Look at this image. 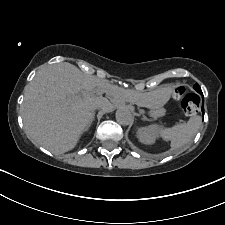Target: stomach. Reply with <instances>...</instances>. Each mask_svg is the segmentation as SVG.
<instances>
[{
    "instance_id": "stomach-1",
    "label": "stomach",
    "mask_w": 225,
    "mask_h": 225,
    "mask_svg": "<svg viewBox=\"0 0 225 225\" xmlns=\"http://www.w3.org/2000/svg\"><path fill=\"white\" fill-rule=\"evenodd\" d=\"M170 92L167 88L154 91L144 98V106L153 110L161 109L168 101Z\"/></svg>"
}]
</instances>
